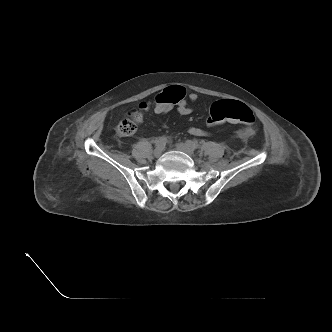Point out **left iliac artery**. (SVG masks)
Wrapping results in <instances>:
<instances>
[{"label": "left iliac artery", "instance_id": "44dca946", "mask_svg": "<svg viewBox=\"0 0 332 332\" xmlns=\"http://www.w3.org/2000/svg\"><path fill=\"white\" fill-rule=\"evenodd\" d=\"M187 144L190 145L194 150L198 147L197 143L191 140H187Z\"/></svg>", "mask_w": 332, "mask_h": 332}]
</instances>
